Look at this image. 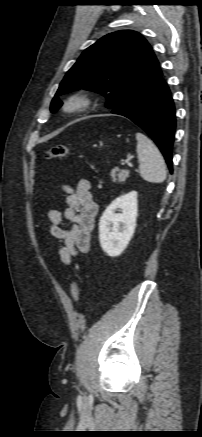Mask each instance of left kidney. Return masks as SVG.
Listing matches in <instances>:
<instances>
[{
  "instance_id": "obj_1",
  "label": "left kidney",
  "mask_w": 202,
  "mask_h": 437,
  "mask_svg": "<svg viewBox=\"0 0 202 437\" xmlns=\"http://www.w3.org/2000/svg\"><path fill=\"white\" fill-rule=\"evenodd\" d=\"M137 206V192L132 191L116 198L101 216L99 240L108 256H119L127 247L135 232Z\"/></svg>"
}]
</instances>
